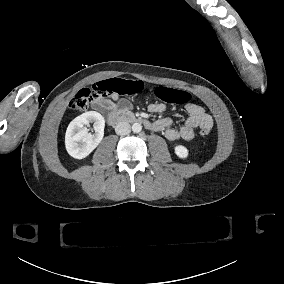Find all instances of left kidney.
<instances>
[{
  "label": "left kidney",
  "instance_id": "left-kidney-1",
  "mask_svg": "<svg viewBox=\"0 0 284 284\" xmlns=\"http://www.w3.org/2000/svg\"><path fill=\"white\" fill-rule=\"evenodd\" d=\"M174 154L181 160H187L189 158L190 152L189 149L181 144L175 145L174 148Z\"/></svg>",
  "mask_w": 284,
  "mask_h": 284
}]
</instances>
